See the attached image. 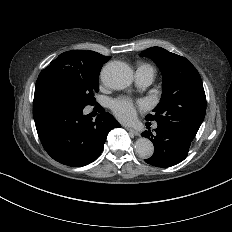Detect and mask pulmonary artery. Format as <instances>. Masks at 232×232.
I'll list each match as a JSON object with an SVG mask.
<instances>
[{
    "label": "pulmonary artery",
    "instance_id": "pulmonary-artery-1",
    "mask_svg": "<svg viewBox=\"0 0 232 232\" xmlns=\"http://www.w3.org/2000/svg\"><path fill=\"white\" fill-rule=\"evenodd\" d=\"M153 69L149 65H142L138 69V76L136 78V85L140 89H147L150 87L153 80Z\"/></svg>",
    "mask_w": 232,
    "mask_h": 232
}]
</instances>
